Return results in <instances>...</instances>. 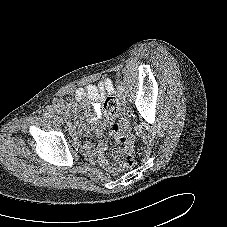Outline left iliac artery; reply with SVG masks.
Returning a JSON list of instances; mask_svg holds the SVG:
<instances>
[{
    "label": "left iliac artery",
    "mask_w": 227,
    "mask_h": 227,
    "mask_svg": "<svg viewBox=\"0 0 227 227\" xmlns=\"http://www.w3.org/2000/svg\"><path fill=\"white\" fill-rule=\"evenodd\" d=\"M117 90H118V92H119L120 94H122V93L124 92V89H123L122 86H118V87H117Z\"/></svg>",
    "instance_id": "left-iliac-artery-1"
}]
</instances>
